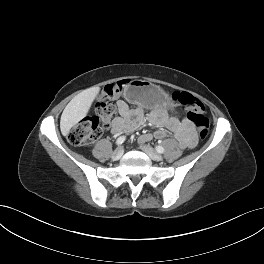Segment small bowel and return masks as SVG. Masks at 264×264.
Segmentation results:
<instances>
[{"mask_svg": "<svg viewBox=\"0 0 264 264\" xmlns=\"http://www.w3.org/2000/svg\"><path fill=\"white\" fill-rule=\"evenodd\" d=\"M119 116L111 125L113 133L130 132L144 123V111L142 108H130L124 100L117 101ZM150 123L156 127L153 133H147L140 137L141 143L152 139H162L173 134L181 148H193L197 143V134L193 124L186 118L178 119L169 116L164 109H155L149 113Z\"/></svg>", "mask_w": 264, "mask_h": 264, "instance_id": "c3829d8e", "label": "small bowel"}]
</instances>
